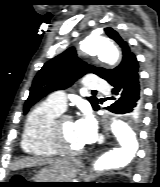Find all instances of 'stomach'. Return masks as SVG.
<instances>
[{"mask_svg": "<svg viewBox=\"0 0 160 187\" xmlns=\"http://www.w3.org/2000/svg\"><path fill=\"white\" fill-rule=\"evenodd\" d=\"M80 168L74 158L58 159L49 166L39 170L31 182H71ZM68 183H34L35 187H56Z\"/></svg>", "mask_w": 160, "mask_h": 187, "instance_id": "1", "label": "stomach"}]
</instances>
